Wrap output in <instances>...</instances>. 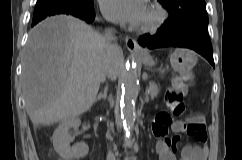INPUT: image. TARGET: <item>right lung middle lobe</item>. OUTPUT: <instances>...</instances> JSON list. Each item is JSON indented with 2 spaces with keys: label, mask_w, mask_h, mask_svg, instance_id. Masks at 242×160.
Returning <instances> with one entry per match:
<instances>
[{
  "label": "right lung middle lobe",
  "mask_w": 242,
  "mask_h": 160,
  "mask_svg": "<svg viewBox=\"0 0 242 160\" xmlns=\"http://www.w3.org/2000/svg\"><path fill=\"white\" fill-rule=\"evenodd\" d=\"M91 8H93L92 0H37L34 16L53 9L88 10Z\"/></svg>",
  "instance_id": "dd1d6c3e"
}]
</instances>
